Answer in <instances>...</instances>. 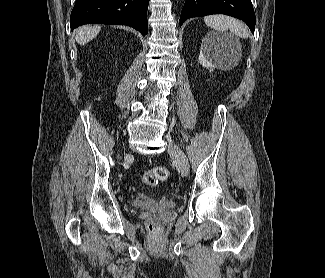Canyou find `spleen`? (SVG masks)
<instances>
[{
  "label": "spleen",
  "mask_w": 325,
  "mask_h": 278,
  "mask_svg": "<svg viewBox=\"0 0 325 278\" xmlns=\"http://www.w3.org/2000/svg\"><path fill=\"white\" fill-rule=\"evenodd\" d=\"M204 22L207 26L215 31L230 30L233 34L241 38H248L249 34L242 22L225 15H210L204 17Z\"/></svg>",
  "instance_id": "spleen-1"
}]
</instances>
